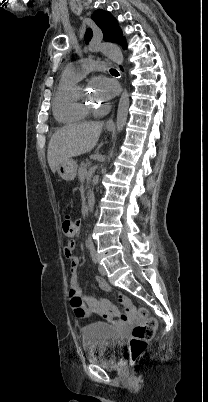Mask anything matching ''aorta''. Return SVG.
<instances>
[{"label":"aorta","instance_id":"762f6f07","mask_svg":"<svg viewBox=\"0 0 208 402\" xmlns=\"http://www.w3.org/2000/svg\"><path fill=\"white\" fill-rule=\"evenodd\" d=\"M104 54L108 60H112V62H115L117 66H122L124 62L123 54L119 48V46H116V44H108V48L104 50ZM128 108H129V94L127 90H123L121 94V98L119 100L118 104V112H117V122H116V132H122L127 116H128ZM87 229L89 231H92L94 229V226L92 225V222H89V225L87 226ZM93 235L91 233H88L86 235V246L89 248V253L92 258H97L99 256V251L98 248L95 246L94 241H92Z\"/></svg>","mask_w":208,"mask_h":402}]
</instances>
